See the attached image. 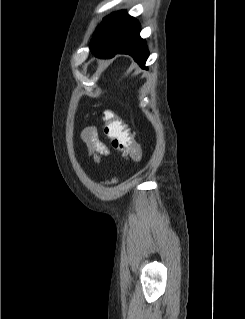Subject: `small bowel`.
Listing matches in <instances>:
<instances>
[{
  "mask_svg": "<svg viewBox=\"0 0 245 319\" xmlns=\"http://www.w3.org/2000/svg\"><path fill=\"white\" fill-rule=\"evenodd\" d=\"M83 139L86 142L90 152L93 153L97 158L107 156L109 154L108 148L99 138L96 128H86L83 133Z\"/></svg>",
  "mask_w": 245,
  "mask_h": 319,
  "instance_id": "1",
  "label": "small bowel"
}]
</instances>
